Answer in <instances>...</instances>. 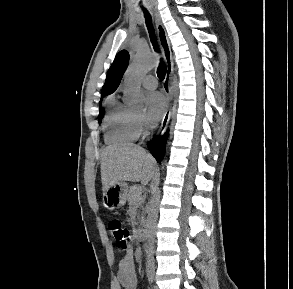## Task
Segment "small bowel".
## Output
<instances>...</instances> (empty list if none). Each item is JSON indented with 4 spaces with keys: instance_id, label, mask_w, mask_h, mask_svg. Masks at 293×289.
Listing matches in <instances>:
<instances>
[{
    "instance_id": "small-bowel-1",
    "label": "small bowel",
    "mask_w": 293,
    "mask_h": 289,
    "mask_svg": "<svg viewBox=\"0 0 293 289\" xmlns=\"http://www.w3.org/2000/svg\"><path fill=\"white\" fill-rule=\"evenodd\" d=\"M137 283L134 252L129 249L119 262L117 277L112 289H136Z\"/></svg>"
}]
</instances>
